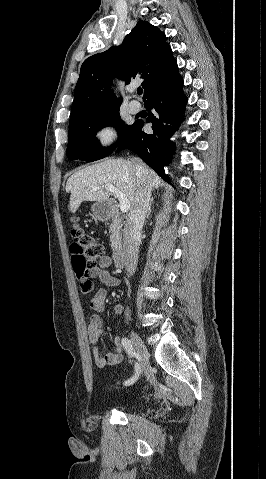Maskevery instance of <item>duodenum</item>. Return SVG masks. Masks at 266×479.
<instances>
[{
	"label": "duodenum",
	"mask_w": 266,
	"mask_h": 479,
	"mask_svg": "<svg viewBox=\"0 0 266 479\" xmlns=\"http://www.w3.org/2000/svg\"><path fill=\"white\" fill-rule=\"evenodd\" d=\"M107 207H108L107 209L108 215L116 220L117 219V213L115 211L116 202L115 201L108 202ZM113 260H114L116 269L120 270L124 268L126 265V257H125L124 251L121 249H118L113 255Z\"/></svg>",
	"instance_id": "duodenum-1"
}]
</instances>
